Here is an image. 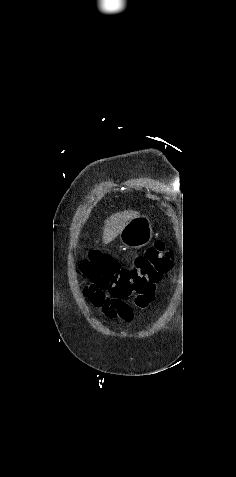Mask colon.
Returning <instances> with one entry per match:
<instances>
[{
    "label": "colon",
    "instance_id": "colon-1",
    "mask_svg": "<svg viewBox=\"0 0 236 477\" xmlns=\"http://www.w3.org/2000/svg\"><path fill=\"white\" fill-rule=\"evenodd\" d=\"M170 266V254L165 245L157 242L136 259L134 266L126 267L100 252H91L80 263V271L89 281L86 293L96 307L111 305L120 313L130 309L127 300L136 305L154 291Z\"/></svg>",
    "mask_w": 236,
    "mask_h": 477
}]
</instances>
